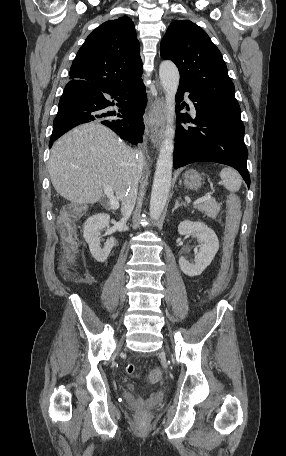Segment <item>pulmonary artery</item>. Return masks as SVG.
Instances as JSON below:
<instances>
[{"label":"pulmonary artery","mask_w":286,"mask_h":456,"mask_svg":"<svg viewBox=\"0 0 286 456\" xmlns=\"http://www.w3.org/2000/svg\"><path fill=\"white\" fill-rule=\"evenodd\" d=\"M188 101H189L190 106H191V112H192L193 114H195V108H194L192 102H191L189 99H188Z\"/></svg>","instance_id":"pulmonary-artery-1"}]
</instances>
